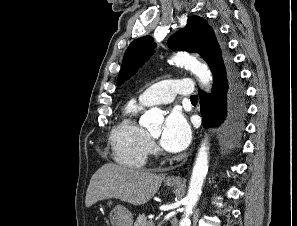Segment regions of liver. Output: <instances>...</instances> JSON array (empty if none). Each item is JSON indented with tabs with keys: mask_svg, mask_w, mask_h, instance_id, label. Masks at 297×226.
Wrapping results in <instances>:
<instances>
[{
	"mask_svg": "<svg viewBox=\"0 0 297 226\" xmlns=\"http://www.w3.org/2000/svg\"><path fill=\"white\" fill-rule=\"evenodd\" d=\"M164 177L150 172L106 163L91 177L85 205L116 198L133 205H144L158 191Z\"/></svg>",
	"mask_w": 297,
	"mask_h": 226,
	"instance_id": "obj_1",
	"label": "liver"
}]
</instances>
